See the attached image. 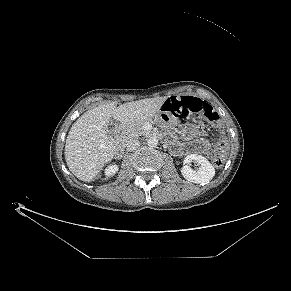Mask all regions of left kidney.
Segmentation results:
<instances>
[{"label":"left kidney","instance_id":"left-kidney-1","mask_svg":"<svg viewBox=\"0 0 291 291\" xmlns=\"http://www.w3.org/2000/svg\"><path fill=\"white\" fill-rule=\"evenodd\" d=\"M199 165V168L192 169L191 163ZM181 169L183 177L193 183H208L215 175L213 165L202 155L190 154L185 157Z\"/></svg>","mask_w":291,"mask_h":291}]
</instances>
